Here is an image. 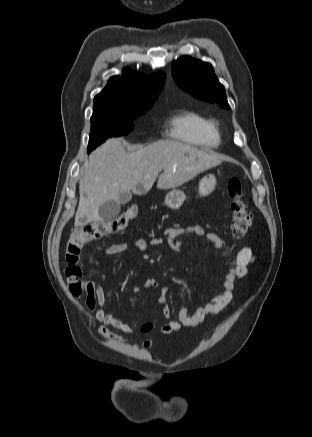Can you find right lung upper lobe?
Instances as JSON below:
<instances>
[{"label":"right lung upper lobe","instance_id":"right-lung-upper-lobe-1","mask_svg":"<svg viewBox=\"0 0 312 437\" xmlns=\"http://www.w3.org/2000/svg\"><path fill=\"white\" fill-rule=\"evenodd\" d=\"M123 72L124 77H111L105 89L95 96L93 113L139 115L154 104L164 86L166 75L135 76L128 68Z\"/></svg>","mask_w":312,"mask_h":437}]
</instances>
